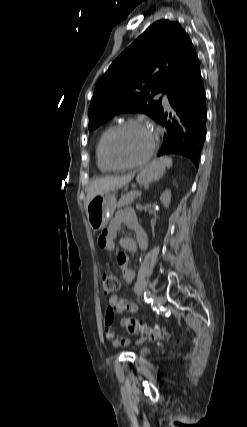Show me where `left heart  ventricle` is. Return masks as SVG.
Segmentation results:
<instances>
[{"instance_id":"left-heart-ventricle-1","label":"left heart ventricle","mask_w":247,"mask_h":427,"mask_svg":"<svg viewBox=\"0 0 247 427\" xmlns=\"http://www.w3.org/2000/svg\"><path fill=\"white\" fill-rule=\"evenodd\" d=\"M153 141L151 131L141 127H128L119 132L112 141L111 152L120 163L141 159L150 149Z\"/></svg>"}]
</instances>
